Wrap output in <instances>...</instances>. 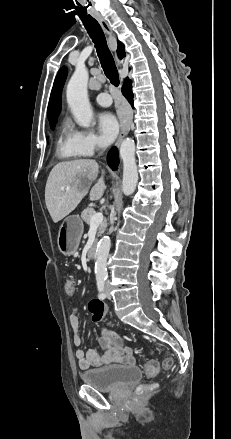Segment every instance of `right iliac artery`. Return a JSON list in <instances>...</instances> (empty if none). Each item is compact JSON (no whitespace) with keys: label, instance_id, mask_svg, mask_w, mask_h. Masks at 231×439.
I'll return each instance as SVG.
<instances>
[{"label":"right iliac artery","instance_id":"82829eb1","mask_svg":"<svg viewBox=\"0 0 231 439\" xmlns=\"http://www.w3.org/2000/svg\"><path fill=\"white\" fill-rule=\"evenodd\" d=\"M104 283H105V279L103 278L97 279V287L99 291L98 297L102 300L106 298V294L104 292Z\"/></svg>","mask_w":231,"mask_h":439}]
</instances>
